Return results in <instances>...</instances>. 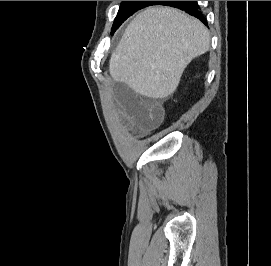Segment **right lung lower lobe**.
I'll return each instance as SVG.
<instances>
[{"instance_id":"obj_1","label":"right lung lower lobe","mask_w":271,"mask_h":266,"mask_svg":"<svg viewBox=\"0 0 271 266\" xmlns=\"http://www.w3.org/2000/svg\"><path fill=\"white\" fill-rule=\"evenodd\" d=\"M157 4L167 5L184 10L186 13L195 16L205 25H207L206 18L202 14L197 1H158Z\"/></svg>"}]
</instances>
